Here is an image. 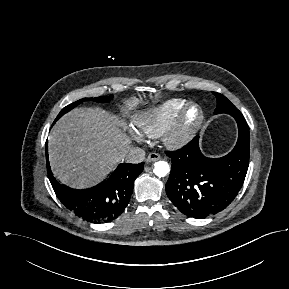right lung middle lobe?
<instances>
[{"label":"right lung middle lobe","mask_w":289,"mask_h":289,"mask_svg":"<svg viewBox=\"0 0 289 289\" xmlns=\"http://www.w3.org/2000/svg\"><path fill=\"white\" fill-rule=\"evenodd\" d=\"M113 98V95H110L109 97L107 96H102V97H96V98H83V99H80L74 103H71L70 105L66 106L65 108H63L61 110V112L58 114L56 120H58L62 115H64L66 112L70 111L71 109H73L74 107H76L77 105L81 104L82 102L84 101H87V100H94L96 102H108L110 101V99ZM55 120V121H56Z\"/></svg>","instance_id":"right-lung-middle-lobe-1"}]
</instances>
